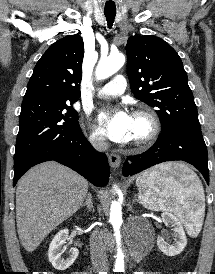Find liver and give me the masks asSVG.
Instances as JSON below:
<instances>
[{
    "label": "liver",
    "mask_w": 215,
    "mask_h": 274,
    "mask_svg": "<svg viewBox=\"0 0 215 274\" xmlns=\"http://www.w3.org/2000/svg\"><path fill=\"white\" fill-rule=\"evenodd\" d=\"M88 182L71 169L45 162L31 168L16 189L17 232L22 246L33 252L58 225L83 204Z\"/></svg>",
    "instance_id": "liver-1"
}]
</instances>
